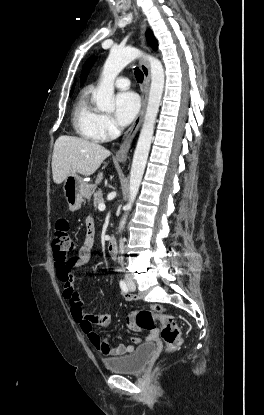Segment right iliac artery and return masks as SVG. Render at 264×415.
I'll use <instances>...</instances> for the list:
<instances>
[{
  "mask_svg": "<svg viewBox=\"0 0 264 415\" xmlns=\"http://www.w3.org/2000/svg\"><path fill=\"white\" fill-rule=\"evenodd\" d=\"M120 287L122 289L123 292L127 293L128 292V286L126 284V282L124 280L120 281Z\"/></svg>",
  "mask_w": 264,
  "mask_h": 415,
  "instance_id": "obj_1",
  "label": "right iliac artery"
}]
</instances>
